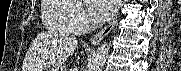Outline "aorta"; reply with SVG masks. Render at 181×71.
<instances>
[{"mask_svg": "<svg viewBox=\"0 0 181 71\" xmlns=\"http://www.w3.org/2000/svg\"><path fill=\"white\" fill-rule=\"evenodd\" d=\"M109 49L110 44L107 42H104L100 47H98L87 65V71H102L106 63V57Z\"/></svg>", "mask_w": 181, "mask_h": 71, "instance_id": "aorta-1", "label": "aorta"}]
</instances>
